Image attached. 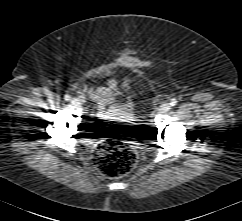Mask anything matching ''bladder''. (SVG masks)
Wrapping results in <instances>:
<instances>
[{
    "label": "bladder",
    "mask_w": 242,
    "mask_h": 221,
    "mask_svg": "<svg viewBox=\"0 0 242 221\" xmlns=\"http://www.w3.org/2000/svg\"><path fill=\"white\" fill-rule=\"evenodd\" d=\"M117 106H118L120 109L125 110V111H130V110H132V109L130 108V106H128V105L125 104V103H118Z\"/></svg>",
    "instance_id": "obj_1"
}]
</instances>
